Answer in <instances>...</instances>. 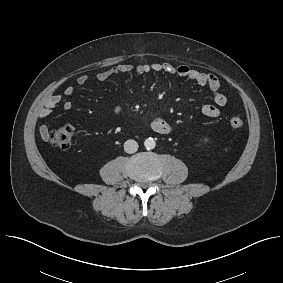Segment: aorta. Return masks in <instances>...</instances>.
Returning <instances> with one entry per match:
<instances>
[{
	"mask_svg": "<svg viewBox=\"0 0 283 283\" xmlns=\"http://www.w3.org/2000/svg\"><path fill=\"white\" fill-rule=\"evenodd\" d=\"M155 141L152 138H148L144 141V146L146 149L150 150V149H154L155 148Z\"/></svg>",
	"mask_w": 283,
	"mask_h": 283,
	"instance_id": "762f6f07",
	"label": "aorta"
}]
</instances>
